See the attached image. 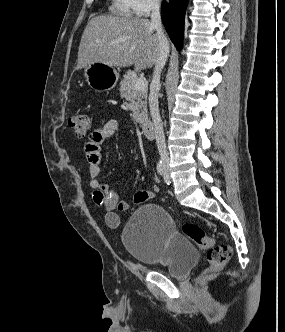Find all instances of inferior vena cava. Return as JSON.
<instances>
[{
    "mask_svg": "<svg viewBox=\"0 0 285 332\" xmlns=\"http://www.w3.org/2000/svg\"><path fill=\"white\" fill-rule=\"evenodd\" d=\"M151 25L156 30L158 37L159 54L155 63L153 78L150 84L149 108L152 121L155 127V139L159 149V155L162 161L168 162L169 157L166 150L165 136L161 117L159 113L158 91L160 89V74L169 55V43L164 34L160 15V0L151 2Z\"/></svg>",
    "mask_w": 285,
    "mask_h": 332,
    "instance_id": "602c4592",
    "label": "inferior vena cava"
}]
</instances>
